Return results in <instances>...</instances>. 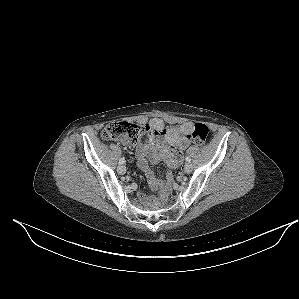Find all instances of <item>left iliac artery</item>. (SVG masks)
I'll return each mask as SVG.
<instances>
[{
	"label": "left iliac artery",
	"mask_w": 299,
	"mask_h": 299,
	"mask_svg": "<svg viewBox=\"0 0 299 299\" xmlns=\"http://www.w3.org/2000/svg\"><path fill=\"white\" fill-rule=\"evenodd\" d=\"M185 159H186L187 162L191 161L190 157H186Z\"/></svg>",
	"instance_id": "1"
}]
</instances>
